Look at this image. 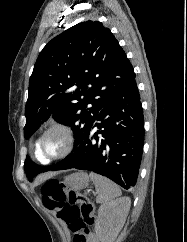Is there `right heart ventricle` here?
I'll return each instance as SVG.
<instances>
[{"label":"right heart ventricle","mask_w":187,"mask_h":242,"mask_svg":"<svg viewBox=\"0 0 187 242\" xmlns=\"http://www.w3.org/2000/svg\"><path fill=\"white\" fill-rule=\"evenodd\" d=\"M35 155L37 157V159L43 163H47L44 161V159L39 155L38 151H37V142H36V146H35Z\"/></svg>","instance_id":"obj_1"}]
</instances>
